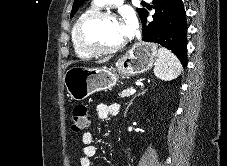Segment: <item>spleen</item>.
Wrapping results in <instances>:
<instances>
[{
	"instance_id": "spleen-1",
	"label": "spleen",
	"mask_w": 227,
	"mask_h": 166,
	"mask_svg": "<svg viewBox=\"0 0 227 166\" xmlns=\"http://www.w3.org/2000/svg\"><path fill=\"white\" fill-rule=\"evenodd\" d=\"M157 57L154 68V74L157 78L170 81L176 79L181 74L182 65L170 50L160 48Z\"/></svg>"
}]
</instances>
